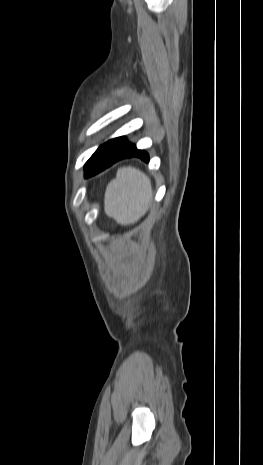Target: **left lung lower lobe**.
Returning a JSON list of instances; mask_svg holds the SVG:
<instances>
[{
  "instance_id": "obj_1",
  "label": "left lung lower lobe",
  "mask_w": 263,
  "mask_h": 465,
  "mask_svg": "<svg viewBox=\"0 0 263 465\" xmlns=\"http://www.w3.org/2000/svg\"><path fill=\"white\" fill-rule=\"evenodd\" d=\"M138 157L148 162L149 156L138 150L125 137H118L102 144L85 164V177L93 176L123 158Z\"/></svg>"
}]
</instances>
